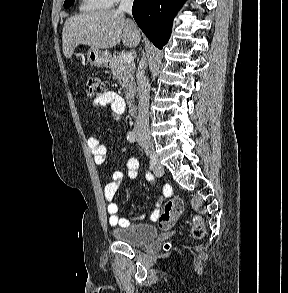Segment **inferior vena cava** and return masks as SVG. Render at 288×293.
<instances>
[{
	"mask_svg": "<svg viewBox=\"0 0 288 293\" xmlns=\"http://www.w3.org/2000/svg\"><path fill=\"white\" fill-rule=\"evenodd\" d=\"M133 0H121L118 11L131 14ZM144 62L140 61L136 74L138 84V116L135 123V133L139 137L149 138V94L150 85L145 71Z\"/></svg>",
	"mask_w": 288,
	"mask_h": 293,
	"instance_id": "602c4592",
	"label": "inferior vena cava"
}]
</instances>
